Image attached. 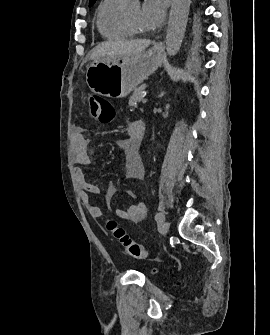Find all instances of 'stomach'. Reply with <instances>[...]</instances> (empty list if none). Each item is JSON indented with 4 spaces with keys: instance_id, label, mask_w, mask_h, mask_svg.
Instances as JSON below:
<instances>
[{
    "instance_id": "obj_1",
    "label": "stomach",
    "mask_w": 270,
    "mask_h": 335,
    "mask_svg": "<svg viewBox=\"0 0 270 335\" xmlns=\"http://www.w3.org/2000/svg\"><path fill=\"white\" fill-rule=\"evenodd\" d=\"M163 48L95 60L87 68L86 82L92 92L105 98H126L161 66Z\"/></svg>"
}]
</instances>
